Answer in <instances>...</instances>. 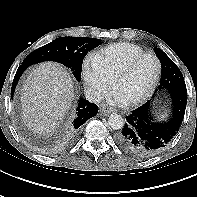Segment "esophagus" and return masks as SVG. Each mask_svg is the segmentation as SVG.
<instances>
[{
  "label": "esophagus",
  "instance_id": "1",
  "mask_svg": "<svg viewBox=\"0 0 197 197\" xmlns=\"http://www.w3.org/2000/svg\"><path fill=\"white\" fill-rule=\"evenodd\" d=\"M113 111L114 110L111 107L105 106V105L100 108V112L103 115H106V116L109 115V114H111Z\"/></svg>",
  "mask_w": 197,
  "mask_h": 197
}]
</instances>
